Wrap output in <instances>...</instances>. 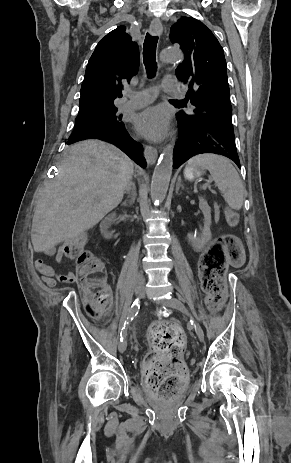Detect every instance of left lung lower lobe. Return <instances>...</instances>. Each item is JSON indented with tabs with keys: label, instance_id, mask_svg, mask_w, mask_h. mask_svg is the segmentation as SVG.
Listing matches in <instances>:
<instances>
[{
	"label": "left lung lower lobe",
	"instance_id": "left-lung-lower-lobe-1",
	"mask_svg": "<svg viewBox=\"0 0 291 463\" xmlns=\"http://www.w3.org/2000/svg\"><path fill=\"white\" fill-rule=\"evenodd\" d=\"M179 128V141L174 147L173 168H178L193 156L213 153L233 160L240 168L235 145L234 131L197 121H190L176 115Z\"/></svg>",
	"mask_w": 291,
	"mask_h": 463
}]
</instances>
